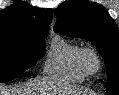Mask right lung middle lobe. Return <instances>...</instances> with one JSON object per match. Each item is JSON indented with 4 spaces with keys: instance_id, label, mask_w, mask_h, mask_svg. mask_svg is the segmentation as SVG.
<instances>
[{
    "instance_id": "dd1d6c3e",
    "label": "right lung middle lobe",
    "mask_w": 119,
    "mask_h": 95,
    "mask_svg": "<svg viewBox=\"0 0 119 95\" xmlns=\"http://www.w3.org/2000/svg\"><path fill=\"white\" fill-rule=\"evenodd\" d=\"M47 33L21 31L0 35V83L17 77L44 56Z\"/></svg>"
}]
</instances>
